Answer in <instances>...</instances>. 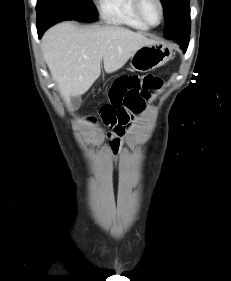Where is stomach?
Instances as JSON below:
<instances>
[{
	"mask_svg": "<svg viewBox=\"0 0 231 281\" xmlns=\"http://www.w3.org/2000/svg\"><path fill=\"white\" fill-rule=\"evenodd\" d=\"M173 56L172 47L164 42L145 45L131 56V67L138 72H148L163 66Z\"/></svg>",
	"mask_w": 231,
	"mask_h": 281,
	"instance_id": "obj_1",
	"label": "stomach"
}]
</instances>
